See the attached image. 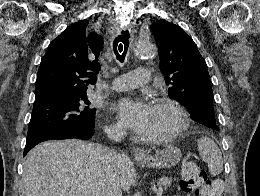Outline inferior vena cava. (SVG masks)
<instances>
[{
	"label": "inferior vena cava",
	"instance_id": "602c4592",
	"mask_svg": "<svg viewBox=\"0 0 260 196\" xmlns=\"http://www.w3.org/2000/svg\"><path fill=\"white\" fill-rule=\"evenodd\" d=\"M107 138L119 142V140H122L123 138V132L122 130H111V132H107ZM104 160L112 166L106 178V196H122L121 188L117 180V174L114 170L115 164H117L119 160V156L116 152H113V150H109L107 154H104Z\"/></svg>",
	"mask_w": 260,
	"mask_h": 196
}]
</instances>
